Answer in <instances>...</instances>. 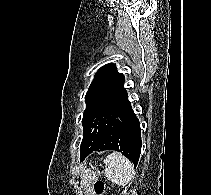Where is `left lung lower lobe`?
Here are the masks:
<instances>
[{
	"instance_id": "1",
	"label": "left lung lower lobe",
	"mask_w": 211,
	"mask_h": 195,
	"mask_svg": "<svg viewBox=\"0 0 211 195\" xmlns=\"http://www.w3.org/2000/svg\"><path fill=\"white\" fill-rule=\"evenodd\" d=\"M141 146L139 120L129 103L117 117L106 125L97 144L87 154L80 157V160H84L93 151L115 150L132 160L136 166Z\"/></svg>"
}]
</instances>
